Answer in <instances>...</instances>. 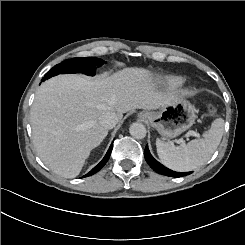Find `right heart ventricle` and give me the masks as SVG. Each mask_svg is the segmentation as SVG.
I'll list each match as a JSON object with an SVG mask.
<instances>
[{"label":"right heart ventricle","instance_id":"right-heart-ventricle-1","mask_svg":"<svg viewBox=\"0 0 245 245\" xmlns=\"http://www.w3.org/2000/svg\"><path fill=\"white\" fill-rule=\"evenodd\" d=\"M164 80L169 86H178L183 82V79L177 76H166Z\"/></svg>","mask_w":245,"mask_h":245}]
</instances>
